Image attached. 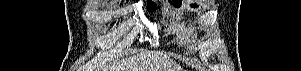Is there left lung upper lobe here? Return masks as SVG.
<instances>
[{
	"mask_svg": "<svg viewBox=\"0 0 301 71\" xmlns=\"http://www.w3.org/2000/svg\"><path fill=\"white\" fill-rule=\"evenodd\" d=\"M181 2H182V0H176V1H173V4L175 6L179 7L181 5ZM191 7H197V5L196 4H191Z\"/></svg>",
	"mask_w": 301,
	"mask_h": 71,
	"instance_id": "left-lung-upper-lobe-1",
	"label": "left lung upper lobe"
}]
</instances>
